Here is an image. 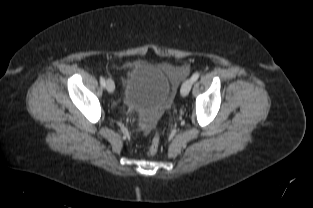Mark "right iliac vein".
Returning a JSON list of instances; mask_svg holds the SVG:
<instances>
[{
	"label": "right iliac vein",
	"instance_id": "right-iliac-vein-1",
	"mask_svg": "<svg viewBox=\"0 0 313 208\" xmlns=\"http://www.w3.org/2000/svg\"><path fill=\"white\" fill-rule=\"evenodd\" d=\"M106 89L109 93H112L114 91L115 85L111 79L106 80Z\"/></svg>",
	"mask_w": 313,
	"mask_h": 208
}]
</instances>
